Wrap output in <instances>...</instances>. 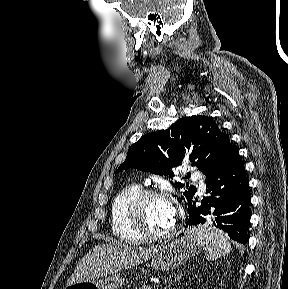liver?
Listing matches in <instances>:
<instances>
[{"label": "liver", "mask_w": 288, "mask_h": 289, "mask_svg": "<svg viewBox=\"0 0 288 289\" xmlns=\"http://www.w3.org/2000/svg\"><path fill=\"white\" fill-rule=\"evenodd\" d=\"M160 247L136 248L119 242L94 247L77 264L66 285L95 280L149 260Z\"/></svg>", "instance_id": "liver-1"}]
</instances>
